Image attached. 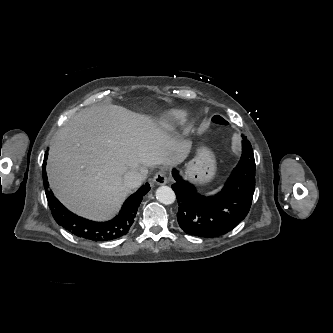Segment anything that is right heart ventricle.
<instances>
[{
  "label": "right heart ventricle",
  "instance_id": "1",
  "mask_svg": "<svg viewBox=\"0 0 333 333\" xmlns=\"http://www.w3.org/2000/svg\"><path fill=\"white\" fill-rule=\"evenodd\" d=\"M189 115L184 110H174L170 113V120L173 125L183 126L187 123Z\"/></svg>",
  "mask_w": 333,
  "mask_h": 333
}]
</instances>
